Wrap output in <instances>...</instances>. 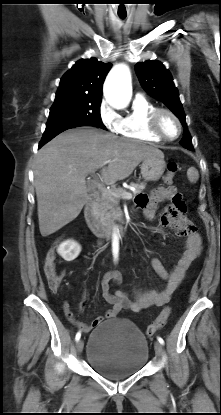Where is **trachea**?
<instances>
[{"mask_svg": "<svg viewBox=\"0 0 221 415\" xmlns=\"http://www.w3.org/2000/svg\"><path fill=\"white\" fill-rule=\"evenodd\" d=\"M120 18L124 19L126 15H119Z\"/></svg>", "mask_w": 221, "mask_h": 415, "instance_id": "obj_1", "label": "trachea"}]
</instances>
